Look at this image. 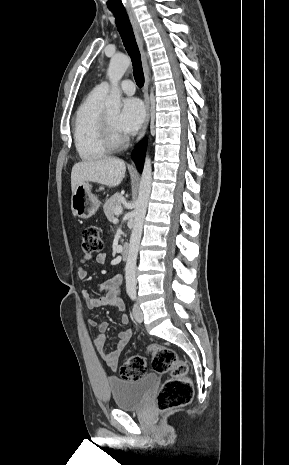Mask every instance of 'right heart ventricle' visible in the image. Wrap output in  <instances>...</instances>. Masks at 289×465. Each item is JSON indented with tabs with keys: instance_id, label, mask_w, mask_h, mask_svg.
<instances>
[{
	"instance_id": "obj_1",
	"label": "right heart ventricle",
	"mask_w": 289,
	"mask_h": 465,
	"mask_svg": "<svg viewBox=\"0 0 289 465\" xmlns=\"http://www.w3.org/2000/svg\"><path fill=\"white\" fill-rule=\"evenodd\" d=\"M105 93L93 89L79 106L73 125L75 148L83 161L100 159L110 152L101 135V119L104 113Z\"/></svg>"
}]
</instances>
